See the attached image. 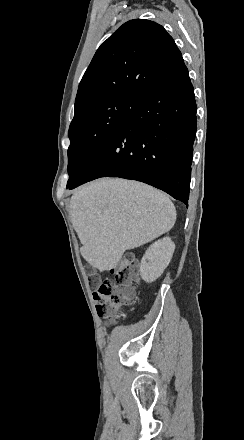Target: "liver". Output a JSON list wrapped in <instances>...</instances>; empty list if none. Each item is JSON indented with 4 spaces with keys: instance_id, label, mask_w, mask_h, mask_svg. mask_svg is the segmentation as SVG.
Here are the masks:
<instances>
[{
    "instance_id": "1",
    "label": "liver",
    "mask_w": 244,
    "mask_h": 440,
    "mask_svg": "<svg viewBox=\"0 0 244 440\" xmlns=\"http://www.w3.org/2000/svg\"><path fill=\"white\" fill-rule=\"evenodd\" d=\"M70 216L84 260L102 272L116 268L125 250L152 242L176 222L167 194L121 178H100L78 188Z\"/></svg>"
}]
</instances>
